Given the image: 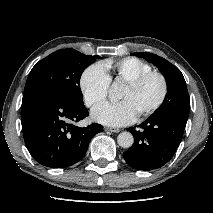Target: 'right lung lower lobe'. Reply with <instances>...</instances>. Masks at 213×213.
<instances>
[{"label": "right lung lower lobe", "instance_id": "98d812e1", "mask_svg": "<svg viewBox=\"0 0 213 213\" xmlns=\"http://www.w3.org/2000/svg\"><path fill=\"white\" fill-rule=\"evenodd\" d=\"M89 115L44 87L24 90L21 108L23 137L32 157L50 168H66L86 153L91 138L103 131L100 124L81 128L74 122Z\"/></svg>", "mask_w": 213, "mask_h": 213}]
</instances>
